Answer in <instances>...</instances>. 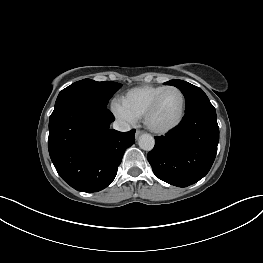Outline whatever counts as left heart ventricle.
I'll list each match as a JSON object with an SVG mask.
<instances>
[{
	"instance_id": "left-heart-ventricle-1",
	"label": "left heart ventricle",
	"mask_w": 263,
	"mask_h": 263,
	"mask_svg": "<svg viewBox=\"0 0 263 263\" xmlns=\"http://www.w3.org/2000/svg\"><path fill=\"white\" fill-rule=\"evenodd\" d=\"M182 108V98L178 91L169 90L161 98L156 110L151 116V124L165 127L177 120Z\"/></svg>"
}]
</instances>
